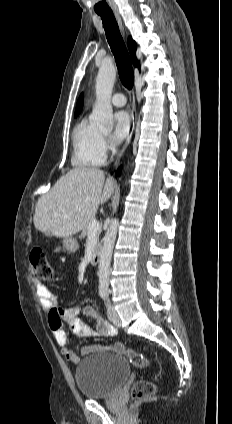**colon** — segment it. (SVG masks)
<instances>
[{
    "label": "colon",
    "mask_w": 232,
    "mask_h": 424,
    "mask_svg": "<svg viewBox=\"0 0 232 424\" xmlns=\"http://www.w3.org/2000/svg\"><path fill=\"white\" fill-rule=\"evenodd\" d=\"M30 264L33 276L42 281H50L54 276V270L46 254L41 249H34L30 253ZM130 362L138 368H147L150 362L141 353L134 350H126ZM156 392V385L148 380H139L131 388L133 399L151 397Z\"/></svg>",
    "instance_id": "obj_1"
}]
</instances>
